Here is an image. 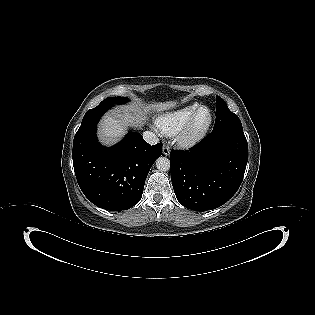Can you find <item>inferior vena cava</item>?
<instances>
[{
    "label": "inferior vena cava",
    "instance_id": "obj_1",
    "mask_svg": "<svg viewBox=\"0 0 315 315\" xmlns=\"http://www.w3.org/2000/svg\"><path fill=\"white\" fill-rule=\"evenodd\" d=\"M143 138L150 145H155L159 142V138L151 131H145L143 133Z\"/></svg>",
    "mask_w": 315,
    "mask_h": 315
}]
</instances>
